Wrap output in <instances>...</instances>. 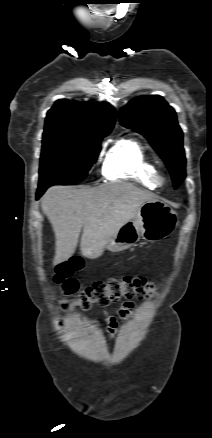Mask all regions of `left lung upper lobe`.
Returning <instances> with one entry per match:
<instances>
[{"label":"left lung upper lobe","instance_id":"5c2ea615","mask_svg":"<svg viewBox=\"0 0 212 438\" xmlns=\"http://www.w3.org/2000/svg\"><path fill=\"white\" fill-rule=\"evenodd\" d=\"M119 122L149 140L165 162L174 187L177 188L186 176V158L183 133L174 109L161 96L140 97L130 101L120 110Z\"/></svg>","mask_w":212,"mask_h":438}]
</instances>
